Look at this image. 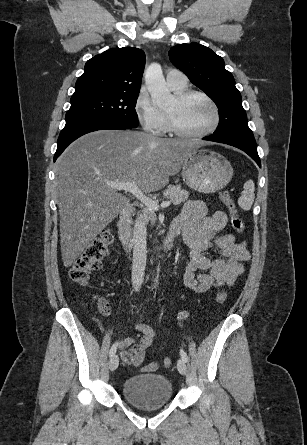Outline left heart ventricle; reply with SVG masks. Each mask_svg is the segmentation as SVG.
Here are the masks:
<instances>
[{
    "mask_svg": "<svg viewBox=\"0 0 307 445\" xmlns=\"http://www.w3.org/2000/svg\"><path fill=\"white\" fill-rule=\"evenodd\" d=\"M175 122L185 131L198 133L210 128L215 119L214 110L204 100L193 97L185 102H177L172 96L165 107Z\"/></svg>",
    "mask_w": 307,
    "mask_h": 445,
    "instance_id": "left-heart-ventricle-1",
    "label": "left heart ventricle"
}]
</instances>
